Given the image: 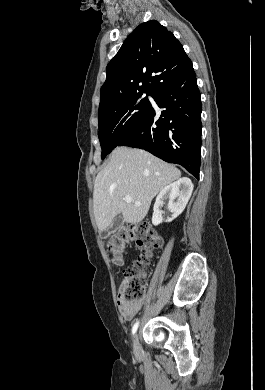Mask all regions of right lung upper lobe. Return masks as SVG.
<instances>
[{
	"label": "right lung upper lobe",
	"mask_w": 265,
	"mask_h": 390,
	"mask_svg": "<svg viewBox=\"0 0 265 390\" xmlns=\"http://www.w3.org/2000/svg\"><path fill=\"white\" fill-rule=\"evenodd\" d=\"M191 60L181 43L155 20L139 25L106 67L99 111L140 93L154 94Z\"/></svg>",
	"instance_id": "right-lung-upper-lobe-1"
}]
</instances>
